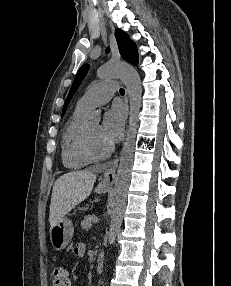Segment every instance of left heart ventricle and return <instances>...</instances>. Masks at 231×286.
Segmentation results:
<instances>
[{"instance_id":"1","label":"left heart ventricle","mask_w":231,"mask_h":286,"mask_svg":"<svg viewBox=\"0 0 231 286\" xmlns=\"http://www.w3.org/2000/svg\"><path fill=\"white\" fill-rule=\"evenodd\" d=\"M91 150L95 154H102L108 149V145L102 140L97 122L86 124Z\"/></svg>"}]
</instances>
